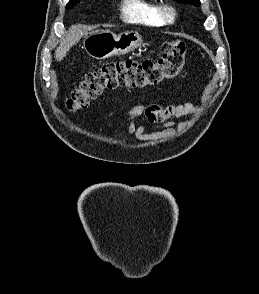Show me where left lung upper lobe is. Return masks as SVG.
I'll use <instances>...</instances> for the list:
<instances>
[{"label":"left lung upper lobe","instance_id":"obj_1","mask_svg":"<svg viewBox=\"0 0 259 294\" xmlns=\"http://www.w3.org/2000/svg\"><path fill=\"white\" fill-rule=\"evenodd\" d=\"M177 2H180V3H189V4H192L196 7L200 6V1L199 0H176Z\"/></svg>","mask_w":259,"mask_h":294}]
</instances>
